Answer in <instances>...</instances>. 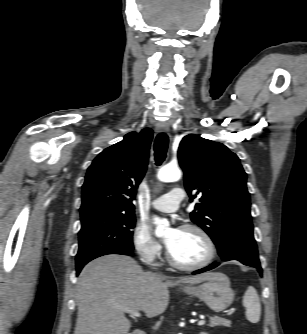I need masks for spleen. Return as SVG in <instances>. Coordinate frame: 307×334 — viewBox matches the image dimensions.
<instances>
[{"mask_svg":"<svg viewBox=\"0 0 307 334\" xmlns=\"http://www.w3.org/2000/svg\"><path fill=\"white\" fill-rule=\"evenodd\" d=\"M243 305L246 308V318L251 323L260 320L261 304L258 293L253 286H249L243 297Z\"/></svg>","mask_w":307,"mask_h":334,"instance_id":"obj_1","label":"spleen"}]
</instances>
